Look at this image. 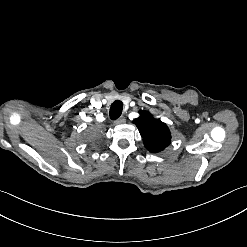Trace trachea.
Listing matches in <instances>:
<instances>
[{"label": "trachea", "mask_w": 247, "mask_h": 247, "mask_svg": "<svg viewBox=\"0 0 247 247\" xmlns=\"http://www.w3.org/2000/svg\"><path fill=\"white\" fill-rule=\"evenodd\" d=\"M123 110V104L121 101H115L112 103L110 108V118L116 120L120 117Z\"/></svg>", "instance_id": "trachea-1"}]
</instances>
